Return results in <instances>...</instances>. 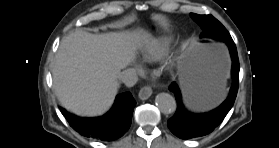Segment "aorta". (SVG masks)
<instances>
[{
	"label": "aorta",
	"instance_id": "762f6f07",
	"mask_svg": "<svg viewBox=\"0 0 279 148\" xmlns=\"http://www.w3.org/2000/svg\"><path fill=\"white\" fill-rule=\"evenodd\" d=\"M155 103L164 114H171L176 110V100L169 93H159L156 96Z\"/></svg>",
	"mask_w": 279,
	"mask_h": 148
}]
</instances>
